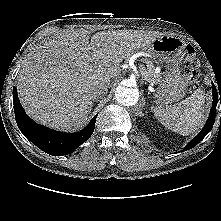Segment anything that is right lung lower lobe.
<instances>
[{"label":"right lung lower lobe","instance_id":"obj_1","mask_svg":"<svg viewBox=\"0 0 221 221\" xmlns=\"http://www.w3.org/2000/svg\"><path fill=\"white\" fill-rule=\"evenodd\" d=\"M15 119L23 135L45 153L60 156L71 154L77 147L89 139L95 128V115L89 124L78 133H62L51 130L34 122L25 113L18 95L13 88Z\"/></svg>","mask_w":221,"mask_h":221}]
</instances>
